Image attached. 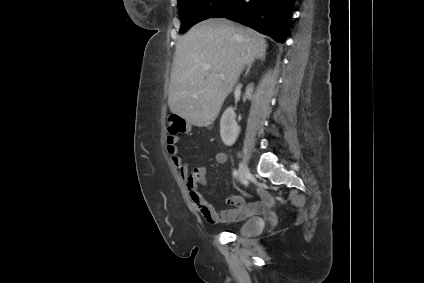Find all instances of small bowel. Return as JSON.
<instances>
[{
    "instance_id": "small-bowel-1",
    "label": "small bowel",
    "mask_w": 424,
    "mask_h": 283,
    "mask_svg": "<svg viewBox=\"0 0 424 283\" xmlns=\"http://www.w3.org/2000/svg\"><path fill=\"white\" fill-rule=\"evenodd\" d=\"M180 137L178 135H169L167 137V148L172 157V161L178 168L180 176L185 182V187L189 199L196 211L209 223H232L246 218L247 216L265 209L271 202L270 194L259 189L262 197L261 201H248L247 198L240 196H231L227 198V203L233 208L216 211L209 204L199 191V186H207V170L204 166H195L192 169L183 161L179 154ZM228 160L227 154L219 152L216 155V161L219 164H225Z\"/></svg>"
}]
</instances>
